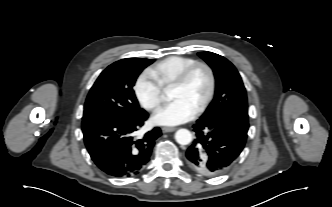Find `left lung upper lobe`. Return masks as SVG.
Returning <instances> with one entry per match:
<instances>
[{
  "label": "left lung upper lobe",
  "instance_id": "left-lung-upper-lobe-1",
  "mask_svg": "<svg viewBox=\"0 0 332 207\" xmlns=\"http://www.w3.org/2000/svg\"><path fill=\"white\" fill-rule=\"evenodd\" d=\"M198 55L213 69L216 79L214 98L200 120L209 121L229 112L247 113L246 90L233 64L212 52H199Z\"/></svg>",
  "mask_w": 332,
  "mask_h": 207
}]
</instances>
